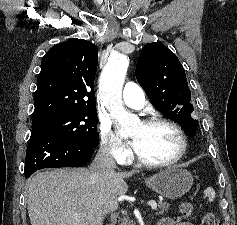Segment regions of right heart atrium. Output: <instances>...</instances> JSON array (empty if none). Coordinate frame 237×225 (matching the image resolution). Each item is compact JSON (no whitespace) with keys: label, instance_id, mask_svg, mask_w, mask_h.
I'll return each instance as SVG.
<instances>
[{"label":"right heart atrium","instance_id":"obj_1","mask_svg":"<svg viewBox=\"0 0 237 225\" xmlns=\"http://www.w3.org/2000/svg\"><path fill=\"white\" fill-rule=\"evenodd\" d=\"M98 134L101 150L112 160L126 163L131 154L120 137L113 131L108 121L101 120L98 124Z\"/></svg>","mask_w":237,"mask_h":225}]
</instances>
